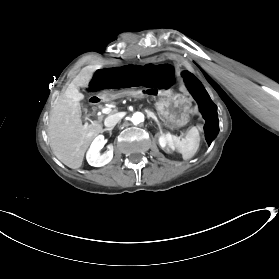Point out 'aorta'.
Segmentation results:
<instances>
[{
	"mask_svg": "<svg viewBox=\"0 0 279 279\" xmlns=\"http://www.w3.org/2000/svg\"><path fill=\"white\" fill-rule=\"evenodd\" d=\"M131 121L133 124L137 125L144 121V114L141 112H136L132 115Z\"/></svg>",
	"mask_w": 279,
	"mask_h": 279,
	"instance_id": "aorta-1",
	"label": "aorta"
}]
</instances>
